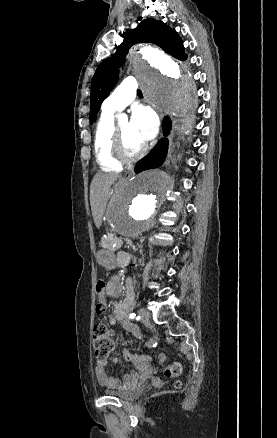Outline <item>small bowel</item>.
Listing matches in <instances>:
<instances>
[{
	"instance_id": "small-bowel-1",
	"label": "small bowel",
	"mask_w": 277,
	"mask_h": 438,
	"mask_svg": "<svg viewBox=\"0 0 277 438\" xmlns=\"http://www.w3.org/2000/svg\"><path fill=\"white\" fill-rule=\"evenodd\" d=\"M122 292L124 298L122 301L114 305V314L108 317L107 322L110 326H114L119 322L125 330L131 332L136 337H140L138 328L125 319L126 315L133 309L135 304V289L133 283L128 281L125 289L122 290V287L116 278H112L108 281L106 287V295L108 297H118ZM123 356L126 358L125 360L134 363L135 370L124 375L121 379L109 375L107 360H98L95 367V374L98 382L102 386L127 391L134 388L142 380L143 375L147 370L146 362L149 361L151 357L147 355L132 354L128 349L123 351Z\"/></svg>"
}]
</instances>
